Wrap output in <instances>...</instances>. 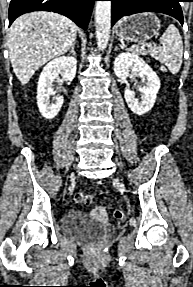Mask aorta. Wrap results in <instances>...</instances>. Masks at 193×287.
<instances>
[{"label": "aorta", "instance_id": "762f6f07", "mask_svg": "<svg viewBox=\"0 0 193 287\" xmlns=\"http://www.w3.org/2000/svg\"><path fill=\"white\" fill-rule=\"evenodd\" d=\"M97 46L104 51L109 42L111 27V1H97L95 7Z\"/></svg>", "mask_w": 193, "mask_h": 287}]
</instances>
